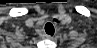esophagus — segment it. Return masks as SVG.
<instances>
[{
	"mask_svg": "<svg viewBox=\"0 0 97 48\" xmlns=\"http://www.w3.org/2000/svg\"><path fill=\"white\" fill-rule=\"evenodd\" d=\"M43 38H45V39H53V36H51V35H47V34H44L43 35Z\"/></svg>",
	"mask_w": 97,
	"mask_h": 48,
	"instance_id": "34e87169",
	"label": "esophagus"
}]
</instances>
